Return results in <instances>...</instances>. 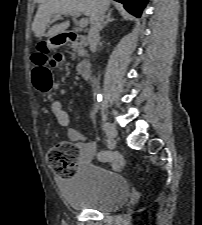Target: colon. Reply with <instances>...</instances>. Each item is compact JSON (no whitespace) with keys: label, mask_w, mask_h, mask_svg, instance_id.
I'll use <instances>...</instances> for the list:
<instances>
[{"label":"colon","mask_w":202,"mask_h":225,"mask_svg":"<svg viewBox=\"0 0 202 225\" xmlns=\"http://www.w3.org/2000/svg\"><path fill=\"white\" fill-rule=\"evenodd\" d=\"M62 61V54L49 55L43 50H39L35 55V68L33 70V83L36 89L46 93L51 89V70L58 67ZM79 151L74 143H64L51 147L47 152V162L49 167L61 178H67L74 174L78 165ZM104 161L109 162L112 168L120 171L124 167L122 155L111 152L104 155Z\"/></svg>","instance_id":"obj_1"}]
</instances>
